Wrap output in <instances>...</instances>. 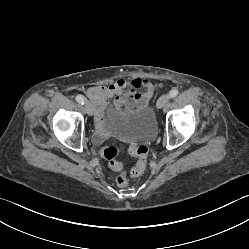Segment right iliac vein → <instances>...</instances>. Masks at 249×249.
I'll list each match as a JSON object with an SVG mask.
<instances>
[{
    "label": "right iliac vein",
    "mask_w": 249,
    "mask_h": 249,
    "mask_svg": "<svg viewBox=\"0 0 249 249\" xmlns=\"http://www.w3.org/2000/svg\"><path fill=\"white\" fill-rule=\"evenodd\" d=\"M84 108H85L86 113H87L89 116H92V115H93V113H94V108H93V105H92L89 101H85Z\"/></svg>",
    "instance_id": "obj_1"
}]
</instances>
